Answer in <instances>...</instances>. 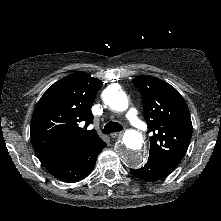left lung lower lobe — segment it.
I'll return each mask as SVG.
<instances>
[{
	"label": "left lung lower lobe",
	"mask_w": 221,
	"mask_h": 221,
	"mask_svg": "<svg viewBox=\"0 0 221 221\" xmlns=\"http://www.w3.org/2000/svg\"><path fill=\"white\" fill-rule=\"evenodd\" d=\"M130 172L134 176L146 181L159 180L169 174L168 171L163 169L159 163L152 158H149L148 162L141 169H130Z\"/></svg>",
	"instance_id": "1"
}]
</instances>
